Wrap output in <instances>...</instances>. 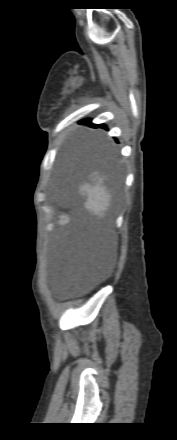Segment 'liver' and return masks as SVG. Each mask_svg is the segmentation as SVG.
<instances>
[{"label": "liver", "instance_id": "1", "mask_svg": "<svg viewBox=\"0 0 177 440\" xmlns=\"http://www.w3.org/2000/svg\"><path fill=\"white\" fill-rule=\"evenodd\" d=\"M89 179L90 182L79 185L78 193L85 198V210L97 218H103L112 202L111 193L104 184L107 176L93 171Z\"/></svg>", "mask_w": 177, "mask_h": 440}]
</instances>
